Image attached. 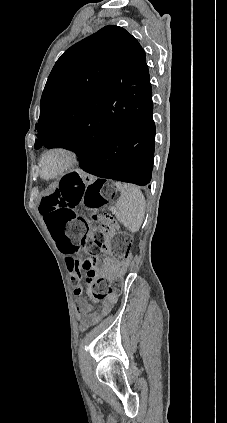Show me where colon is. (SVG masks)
<instances>
[{"instance_id":"obj_1","label":"colon","mask_w":227,"mask_h":423,"mask_svg":"<svg viewBox=\"0 0 227 423\" xmlns=\"http://www.w3.org/2000/svg\"><path fill=\"white\" fill-rule=\"evenodd\" d=\"M115 195L112 186L106 183L90 182L79 174H68L54 191L42 198L39 206L45 224L61 252L78 254L86 243L84 247L89 256L68 257L66 262L74 289L79 288L85 278L88 293L94 301L104 300L120 287L119 281L109 283L98 277L93 267L94 256L107 248L106 232L114 229L116 223L112 215L98 214V225L89 233L88 225L78 215L77 208L81 204L92 209L100 208L114 199ZM110 248L116 261L127 262L131 257V237L123 232H115Z\"/></svg>"}]
</instances>
